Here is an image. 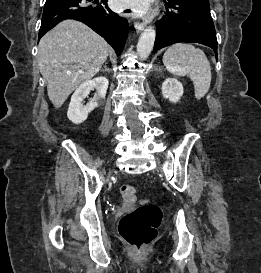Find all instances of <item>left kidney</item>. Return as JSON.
<instances>
[{
    "mask_svg": "<svg viewBox=\"0 0 261 273\" xmlns=\"http://www.w3.org/2000/svg\"><path fill=\"white\" fill-rule=\"evenodd\" d=\"M183 95V85L177 79L167 78L162 84V96L177 103Z\"/></svg>",
    "mask_w": 261,
    "mask_h": 273,
    "instance_id": "5707ae66",
    "label": "left kidney"
}]
</instances>
